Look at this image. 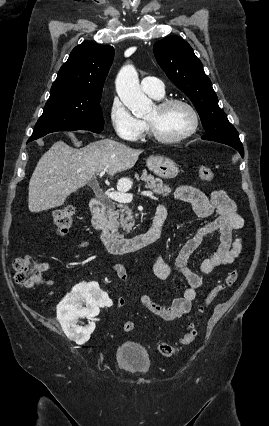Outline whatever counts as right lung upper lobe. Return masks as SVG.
I'll list each match as a JSON object with an SVG mask.
<instances>
[{"mask_svg": "<svg viewBox=\"0 0 269 426\" xmlns=\"http://www.w3.org/2000/svg\"><path fill=\"white\" fill-rule=\"evenodd\" d=\"M114 58V48L94 42L76 46L60 68L51 93L102 95L103 84Z\"/></svg>", "mask_w": 269, "mask_h": 426, "instance_id": "obj_1", "label": "right lung upper lobe"}]
</instances>
